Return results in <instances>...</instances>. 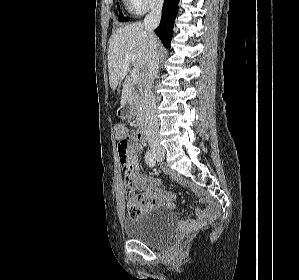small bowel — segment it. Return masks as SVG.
<instances>
[{
    "mask_svg": "<svg viewBox=\"0 0 299 280\" xmlns=\"http://www.w3.org/2000/svg\"><path fill=\"white\" fill-rule=\"evenodd\" d=\"M141 150L142 146L136 143L132 138V143L129 149L130 169L127 173H124V185L141 192L137 199L144 206L145 210L160 206L173 209L175 207V194L171 191L158 188L162 183V179L148 176L139 171L137 154L140 153ZM201 202L206 204L205 209L202 212H199L195 218L184 222L185 227L193 228L200 226L217 213V206L210 202L207 197H203Z\"/></svg>",
    "mask_w": 299,
    "mask_h": 280,
    "instance_id": "c3829d8e",
    "label": "small bowel"
}]
</instances>
